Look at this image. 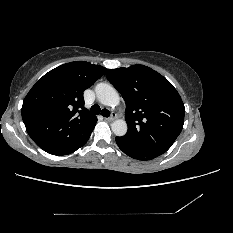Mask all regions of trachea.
<instances>
[{"mask_svg":"<svg viewBox=\"0 0 233 233\" xmlns=\"http://www.w3.org/2000/svg\"><path fill=\"white\" fill-rule=\"evenodd\" d=\"M90 112L92 115H98L101 113L102 116L104 117H109L110 116V111L107 109H100L98 105H93L90 109Z\"/></svg>","mask_w":233,"mask_h":233,"instance_id":"1","label":"trachea"}]
</instances>
